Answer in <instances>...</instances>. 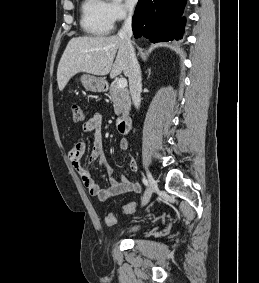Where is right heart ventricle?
Here are the masks:
<instances>
[{
  "label": "right heart ventricle",
  "mask_w": 259,
  "mask_h": 283,
  "mask_svg": "<svg viewBox=\"0 0 259 283\" xmlns=\"http://www.w3.org/2000/svg\"><path fill=\"white\" fill-rule=\"evenodd\" d=\"M81 25L93 36L108 35L114 26L105 0H84L82 3Z\"/></svg>",
  "instance_id": "e07e8e85"
}]
</instances>
